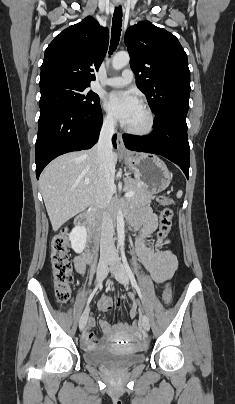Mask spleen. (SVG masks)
<instances>
[{"label": "spleen", "instance_id": "obj_1", "mask_svg": "<svg viewBox=\"0 0 235 404\" xmlns=\"http://www.w3.org/2000/svg\"><path fill=\"white\" fill-rule=\"evenodd\" d=\"M183 192L181 190H179L176 194L177 198H181L182 197Z\"/></svg>", "mask_w": 235, "mask_h": 404}]
</instances>
